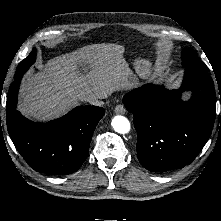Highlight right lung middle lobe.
Listing matches in <instances>:
<instances>
[{
    "instance_id": "dd1d6c3e",
    "label": "right lung middle lobe",
    "mask_w": 221,
    "mask_h": 221,
    "mask_svg": "<svg viewBox=\"0 0 221 221\" xmlns=\"http://www.w3.org/2000/svg\"><path fill=\"white\" fill-rule=\"evenodd\" d=\"M35 59H36V50L34 48L32 52L29 54V56L25 58L24 60H22L20 64L18 65L16 73H15V80L23 76V74L35 62Z\"/></svg>"
}]
</instances>
